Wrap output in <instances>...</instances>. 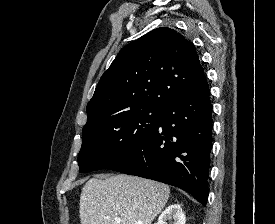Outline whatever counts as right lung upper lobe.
<instances>
[{
  "label": "right lung upper lobe",
  "mask_w": 275,
  "mask_h": 224,
  "mask_svg": "<svg viewBox=\"0 0 275 224\" xmlns=\"http://www.w3.org/2000/svg\"><path fill=\"white\" fill-rule=\"evenodd\" d=\"M203 74L191 42L174 29H154L123 47L104 72L83 129L139 109L164 110Z\"/></svg>",
  "instance_id": "1"
}]
</instances>
